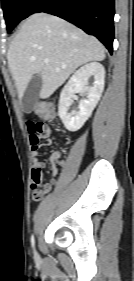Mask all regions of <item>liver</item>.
Listing matches in <instances>:
<instances>
[{"label": "liver", "mask_w": 134, "mask_h": 281, "mask_svg": "<svg viewBox=\"0 0 134 281\" xmlns=\"http://www.w3.org/2000/svg\"><path fill=\"white\" fill-rule=\"evenodd\" d=\"M19 99L35 75L42 78L40 98L50 97L79 66L105 59V48L94 36L46 13H35L22 24L7 53ZM49 62L45 63L44 60Z\"/></svg>", "instance_id": "1"}]
</instances>
